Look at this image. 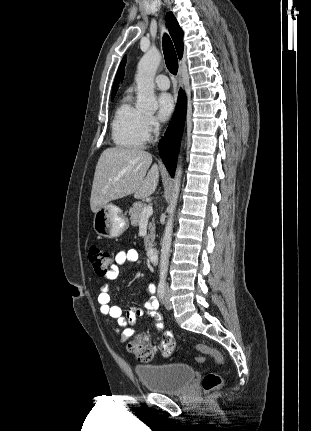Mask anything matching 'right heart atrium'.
I'll use <instances>...</instances> for the list:
<instances>
[{"mask_svg": "<svg viewBox=\"0 0 311 431\" xmlns=\"http://www.w3.org/2000/svg\"><path fill=\"white\" fill-rule=\"evenodd\" d=\"M146 126L148 131V139H153L159 134L160 125L157 118L152 114L146 115Z\"/></svg>", "mask_w": 311, "mask_h": 431, "instance_id": "right-heart-atrium-1", "label": "right heart atrium"}]
</instances>
